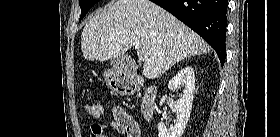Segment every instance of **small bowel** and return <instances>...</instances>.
Wrapping results in <instances>:
<instances>
[{
  "label": "small bowel",
  "instance_id": "c3829d8e",
  "mask_svg": "<svg viewBox=\"0 0 280 137\" xmlns=\"http://www.w3.org/2000/svg\"><path fill=\"white\" fill-rule=\"evenodd\" d=\"M111 112L113 115V119L111 121L107 123L92 124L89 137H107L105 134V130L107 128L115 129L124 134L126 137H141L140 132L135 136L131 135L126 124V119L129 118V116L121 107H112Z\"/></svg>",
  "mask_w": 280,
  "mask_h": 137
}]
</instances>
